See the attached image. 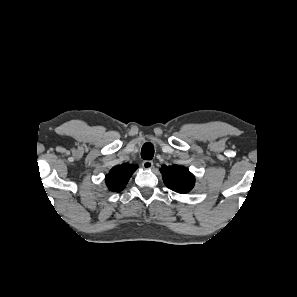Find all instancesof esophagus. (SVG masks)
I'll return each instance as SVG.
<instances>
[{
  "label": "esophagus",
  "mask_w": 297,
  "mask_h": 297,
  "mask_svg": "<svg viewBox=\"0 0 297 297\" xmlns=\"http://www.w3.org/2000/svg\"><path fill=\"white\" fill-rule=\"evenodd\" d=\"M142 166L145 169H151V168H153L154 163L150 160H145V161H143Z\"/></svg>",
  "instance_id": "esophagus-1"
}]
</instances>
